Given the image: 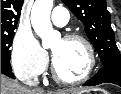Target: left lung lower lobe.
I'll return each instance as SVG.
<instances>
[{
  "label": "left lung lower lobe",
  "instance_id": "obj_1",
  "mask_svg": "<svg viewBox=\"0 0 121 94\" xmlns=\"http://www.w3.org/2000/svg\"><path fill=\"white\" fill-rule=\"evenodd\" d=\"M101 83H113L121 86V65L102 67L84 86H95Z\"/></svg>",
  "mask_w": 121,
  "mask_h": 94
}]
</instances>
